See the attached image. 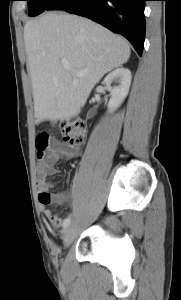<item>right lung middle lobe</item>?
Instances as JSON below:
<instances>
[{
	"label": "right lung middle lobe",
	"mask_w": 181,
	"mask_h": 300,
	"mask_svg": "<svg viewBox=\"0 0 181 300\" xmlns=\"http://www.w3.org/2000/svg\"><path fill=\"white\" fill-rule=\"evenodd\" d=\"M28 3L29 15L36 16L45 10H51L59 0H25Z\"/></svg>",
	"instance_id": "dd1d6c3e"
}]
</instances>
